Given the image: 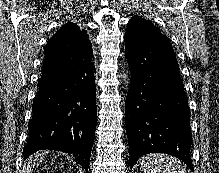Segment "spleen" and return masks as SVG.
<instances>
[{
	"instance_id": "obj_1",
	"label": "spleen",
	"mask_w": 219,
	"mask_h": 173,
	"mask_svg": "<svg viewBox=\"0 0 219 173\" xmlns=\"http://www.w3.org/2000/svg\"><path fill=\"white\" fill-rule=\"evenodd\" d=\"M144 173H185L180 162L164 154H150L139 161Z\"/></svg>"
}]
</instances>
